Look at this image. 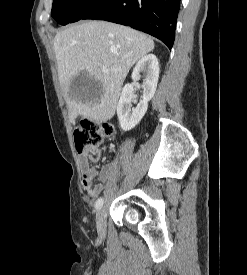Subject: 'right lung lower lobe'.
Masks as SVG:
<instances>
[{"instance_id": "obj_1", "label": "right lung lower lobe", "mask_w": 247, "mask_h": 275, "mask_svg": "<svg viewBox=\"0 0 247 275\" xmlns=\"http://www.w3.org/2000/svg\"><path fill=\"white\" fill-rule=\"evenodd\" d=\"M180 0H101L81 19L106 20L148 33L169 49L175 39Z\"/></svg>"}]
</instances>
